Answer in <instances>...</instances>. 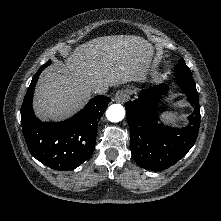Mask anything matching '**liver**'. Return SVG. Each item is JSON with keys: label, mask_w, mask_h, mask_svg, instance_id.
<instances>
[{"label": "liver", "mask_w": 221, "mask_h": 221, "mask_svg": "<svg viewBox=\"0 0 221 221\" xmlns=\"http://www.w3.org/2000/svg\"><path fill=\"white\" fill-rule=\"evenodd\" d=\"M152 44L133 35L97 37L79 45L57 71L40 77L34 110L42 120L69 117L98 88L107 89L141 79L149 68Z\"/></svg>", "instance_id": "obj_1"}]
</instances>
